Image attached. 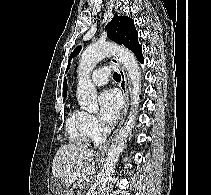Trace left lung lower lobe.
<instances>
[{
	"instance_id": "0a47b994",
	"label": "left lung lower lobe",
	"mask_w": 211,
	"mask_h": 195,
	"mask_svg": "<svg viewBox=\"0 0 211 195\" xmlns=\"http://www.w3.org/2000/svg\"><path fill=\"white\" fill-rule=\"evenodd\" d=\"M137 58L139 59V61L142 63L143 62V57L142 55L137 56Z\"/></svg>"
}]
</instances>
